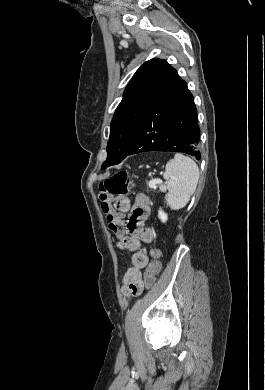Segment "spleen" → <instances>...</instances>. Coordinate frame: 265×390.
<instances>
[{"label":"spleen","instance_id":"3e777b00","mask_svg":"<svg viewBox=\"0 0 265 390\" xmlns=\"http://www.w3.org/2000/svg\"><path fill=\"white\" fill-rule=\"evenodd\" d=\"M163 177L167 180V205L178 210L188 203L194 193L199 180V168L191 158L176 154L167 162Z\"/></svg>","mask_w":265,"mask_h":390}]
</instances>
